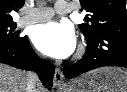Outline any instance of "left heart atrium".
<instances>
[{"mask_svg":"<svg viewBox=\"0 0 127 92\" xmlns=\"http://www.w3.org/2000/svg\"><path fill=\"white\" fill-rule=\"evenodd\" d=\"M32 40L42 53L59 59L69 57L76 47L73 28L69 24L55 21L37 26Z\"/></svg>","mask_w":127,"mask_h":92,"instance_id":"obj_1","label":"left heart atrium"}]
</instances>
